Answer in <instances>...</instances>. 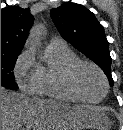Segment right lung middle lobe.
I'll list each match as a JSON object with an SVG mask.
<instances>
[{"label": "right lung middle lobe", "mask_w": 123, "mask_h": 130, "mask_svg": "<svg viewBox=\"0 0 123 130\" xmlns=\"http://www.w3.org/2000/svg\"><path fill=\"white\" fill-rule=\"evenodd\" d=\"M20 52L1 53V86L9 89H17L14 73L12 72Z\"/></svg>", "instance_id": "dd1d6c3e"}]
</instances>
